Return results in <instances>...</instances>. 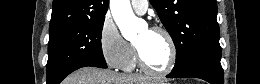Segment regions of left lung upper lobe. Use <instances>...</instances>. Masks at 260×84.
<instances>
[{"label":"left lung upper lobe","mask_w":260,"mask_h":84,"mask_svg":"<svg viewBox=\"0 0 260 84\" xmlns=\"http://www.w3.org/2000/svg\"><path fill=\"white\" fill-rule=\"evenodd\" d=\"M176 47L173 70L195 54L220 47L216 0H150Z\"/></svg>","instance_id":"obj_1"}]
</instances>
